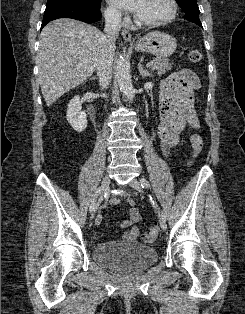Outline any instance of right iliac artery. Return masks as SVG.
Wrapping results in <instances>:
<instances>
[{
    "mask_svg": "<svg viewBox=\"0 0 245 314\" xmlns=\"http://www.w3.org/2000/svg\"><path fill=\"white\" fill-rule=\"evenodd\" d=\"M100 191H101V188H98L97 191H96V196L100 193ZM95 205H96V200L94 198L92 203H91V205H90V210L94 209Z\"/></svg>",
    "mask_w": 245,
    "mask_h": 314,
    "instance_id": "obj_1",
    "label": "right iliac artery"
}]
</instances>
